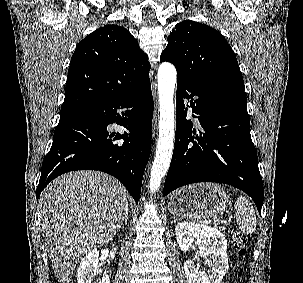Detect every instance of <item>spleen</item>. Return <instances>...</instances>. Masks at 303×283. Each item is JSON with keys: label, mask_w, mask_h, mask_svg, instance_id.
<instances>
[{"label": "spleen", "mask_w": 303, "mask_h": 283, "mask_svg": "<svg viewBox=\"0 0 303 283\" xmlns=\"http://www.w3.org/2000/svg\"><path fill=\"white\" fill-rule=\"evenodd\" d=\"M234 206L236 210V222L241 232L244 234H252L255 232L256 215L249 199L245 196H240Z\"/></svg>", "instance_id": "3e777b00"}]
</instances>
